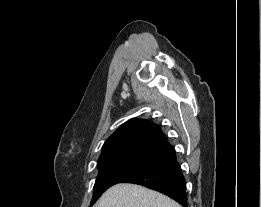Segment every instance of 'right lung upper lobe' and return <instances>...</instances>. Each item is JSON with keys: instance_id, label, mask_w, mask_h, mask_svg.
<instances>
[{"instance_id": "1", "label": "right lung upper lobe", "mask_w": 261, "mask_h": 207, "mask_svg": "<svg viewBox=\"0 0 261 207\" xmlns=\"http://www.w3.org/2000/svg\"><path fill=\"white\" fill-rule=\"evenodd\" d=\"M174 148L156 124L145 119H130L104 143L98 165L122 159H149L163 162L174 157Z\"/></svg>"}]
</instances>
